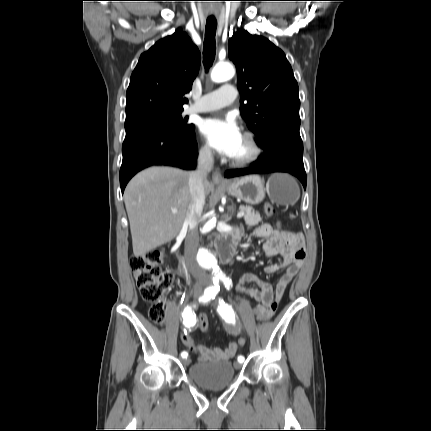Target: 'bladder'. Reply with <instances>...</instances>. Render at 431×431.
I'll use <instances>...</instances> for the list:
<instances>
[{"label":"bladder","mask_w":431,"mask_h":431,"mask_svg":"<svg viewBox=\"0 0 431 431\" xmlns=\"http://www.w3.org/2000/svg\"><path fill=\"white\" fill-rule=\"evenodd\" d=\"M188 377L202 388L217 390L233 383L236 370L232 362L227 360L197 362L189 367Z\"/></svg>","instance_id":"bladder-1"}]
</instances>
